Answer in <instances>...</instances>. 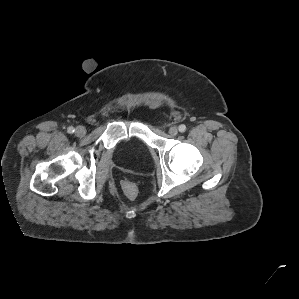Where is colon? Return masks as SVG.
I'll list each match as a JSON object with an SVG mask.
<instances>
[{
  "mask_svg": "<svg viewBox=\"0 0 299 299\" xmlns=\"http://www.w3.org/2000/svg\"><path fill=\"white\" fill-rule=\"evenodd\" d=\"M121 188L129 199H135L137 196V187L133 181L128 179L123 180L121 183Z\"/></svg>",
  "mask_w": 299,
  "mask_h": 299,
  "instance_id": "obj_1",
  "label": "colon"
}]
</instances>
